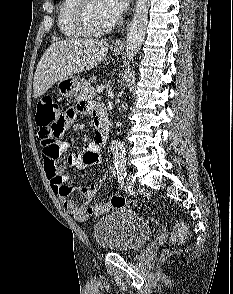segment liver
<instances>
[{
    "label": "liver",
    "mask_w": 233,
    "mask_h": 294,
    "mask_svg": "<svg viewBox=\"0 0 233 294\" xmlns=\"http://www.w3.org/2000/svg\"><path fill=\"white\" fill-rule=\"evenodd\" d=\"M108 47L106 41L93 39L53 43L37 65L33 81L34 97L42 96L61 79L96 67L105 59Z\"/></svg>",
    "instance_id": "liver-1"
}]
</instances>
